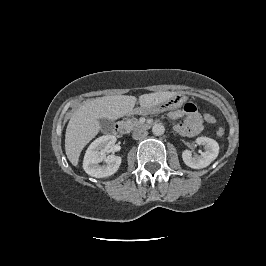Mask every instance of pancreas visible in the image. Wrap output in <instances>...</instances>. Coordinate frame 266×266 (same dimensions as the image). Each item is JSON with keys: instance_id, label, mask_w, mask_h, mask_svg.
<instances>
[{"instance_id": "obj_1", "label": "pancreas", "mask_w": 266, "mask_h": 266, "mask_svg": "<svg viewBox=\"0 0 266 266\" xmlns=\"http://www.w3.org/2000/svg\"><path fill=\"white\" fill-rule=\"evenodd\" d=\"M126 123L130 129L139 127L141 125V123L137 119H129L126 121Z\"/></svg>"}]
</instances>
